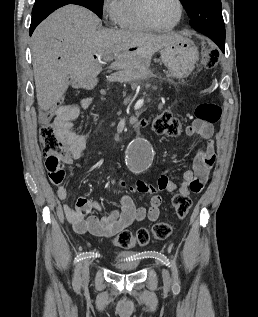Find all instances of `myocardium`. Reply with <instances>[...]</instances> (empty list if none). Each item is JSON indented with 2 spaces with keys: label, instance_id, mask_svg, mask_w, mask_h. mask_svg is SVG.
<instances>
[{
  "label": "myocardium",
  "instance_id": "1",
  "mask_svg": "<svg viewBox=\"0 0 258 317\" xmlns=\"http://www.w3.org/2000/svg\"><path fill=\"white\" fill-rule=\"evenodd\" d=\"M155 0H146L142 6V10H141V19L144 23V25L149 28L150 30H154V31H159V32H167V31H171L173 29H175L178 24L180 23L182 17H183V4H182V1L181 0H175L177 5H178V18L177 20L175 21L174 24H172L171 26L169 27H159V26H156L152 23L150 17H149V10H150V7L152 5V3L154 2Z\"/></svg>",
  "mask_w": 258,
  "mask_h": 317
}]
</instances>
